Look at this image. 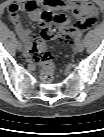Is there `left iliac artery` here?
<instances>
[{"label":"left iliac artery","instance_id":"left-iliac-artery-1","mask_svg":"<svg viewBox=\"0 0 104 137\" xmlns=\"http://www.w3.org/2000/svg\"><path fill=\"white\" fill-rule=\"evenodd\" d=\"M78 40H79V41H81V40H82V35H80V36H79Z\"/></svg>","mask_w":104,"mask_h":137}]
</instances>
